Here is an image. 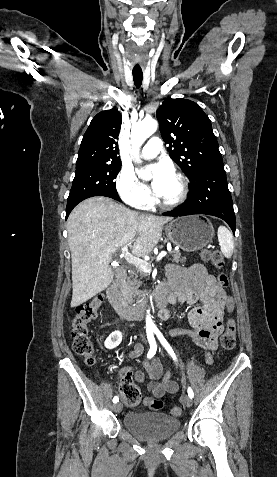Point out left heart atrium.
Segmentation results:
<instances>
[{"label":"left heart atrium","instance_id":"1","mask_svg":"<svg viewBox=\"0 0 277 477\" xmlns=\"http://www.w3.org/2000/svg\"><path fill=\"white\" fill-rule=\"evenodd\" d=\"M149 170L152 173L151 187L155 194L161 197L165 193L169 183L175 177L174 171L172 167L164 161L152 165L149 167Z\"/></svg>","mask_w":277,"mask_h":477}]
</instances>
